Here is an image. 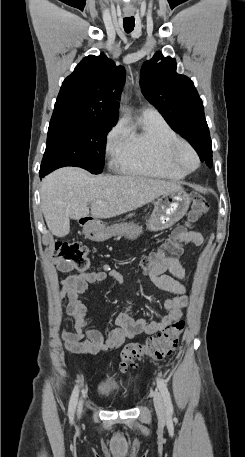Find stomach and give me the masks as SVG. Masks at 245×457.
Returning <instances> with one entry per match:
<instances>
[{"label":"stomach","mask_w":245,"mask_h":457,"mask_svg":"<svg viewBox=\"0 0 245 457\" xmlns=\"http://www.w3.org/2000/svg\"><path fill=\"white\" fill-rule=\"evenodd\" d=\"M190 204L189 194L185 190H171L158 196L155 208L148 220L147 229L149 231H164L169 226L175 224L186 214ZM83 226V233L91 241H106L109 237L124 235L127 239H137L141 233V226L134 222H121V224H111L104 226L101 220H79Z\"/></svg>","instance_id":"0dacf381"}]
</instances>
